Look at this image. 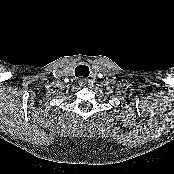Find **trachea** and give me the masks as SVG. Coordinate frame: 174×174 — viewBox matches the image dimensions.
<instances>
[{
	"instance_id": "3493384b",
	"label": "trachea",
	"mask_w": 174,
	"mask_h": 174,
	"mask_svg": "<svg viewBox=\"0 0 174 174\" xmlns=\"http://www.w3.org/2000/svg\"><path fill=\"white\" fill-rule=\"evenodd\" d=\"M76 77H88L89 76V68L86 65H79L75 69Z\"/></svg>"
}]
</instances>
